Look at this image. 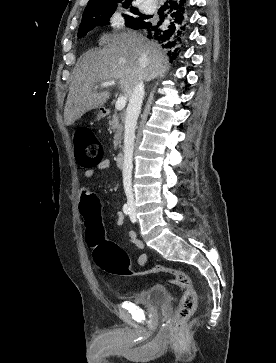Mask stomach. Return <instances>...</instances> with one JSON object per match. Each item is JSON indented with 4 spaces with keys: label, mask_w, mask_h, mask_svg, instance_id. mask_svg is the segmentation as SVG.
<instances>
[{
    "label": "stomach",
    "mask_w": 276,
    "mask_h": 363,
    "mask_svg": "<svg viewBox=\"0 0 276 363\" xmlns=\"http://www.w3.org/2000/svg\"><path fill=\"white\" fill-rule=\"evenodd\" d=\"M104 113L102 111H99L97 114V118L101 119L103 117Z\"/></svg>",
    "instance_id": "1"
}]
</instances>
